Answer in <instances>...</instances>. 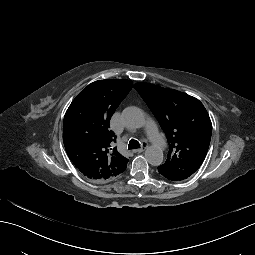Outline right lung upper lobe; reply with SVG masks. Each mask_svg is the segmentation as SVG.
<instances>
[{
	"instance_id": "cb5924a9",
	"label": "right lung upper lobe",
	"mask_w": 255,
	"mask_h": 255,
	"mask_svg": "<svg viewBox=\"0 0 255 255\" xmlns=\"http://www.w3.org/2000/svg\"><path fill=\"white\" fill-rule=\"evenodd\" d=\"M129 80L106 79L88 85L72 101L63 122L67 155L88 179L106 182L125 171L128 159L114 148L110 119L132 89Z\"/></svg>"
}]
</instances>
